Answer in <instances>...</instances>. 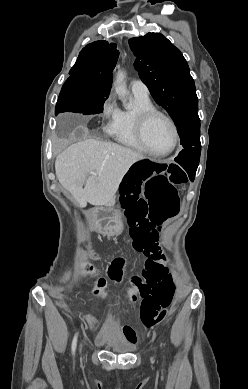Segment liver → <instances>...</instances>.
Masks as SVG:
<instances>
[{
	"label": "liver",
	"instance_id": "6515ba94",
	"mask_svg": "<svg viewBox=\"0 0 248 389\" xmlns=\"http://www.w3.org/2000/svg\"><path fill=\"white\" fill-rule=\"evenodd\" d=\"M143 159L144 155L122 145L88 139L60 153L55 171L79 207L101 206L113 200L130 166Z\"/></svg>",
	"mask_w": 248,
	"mask_h": 389
}]
</instances>
